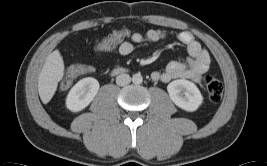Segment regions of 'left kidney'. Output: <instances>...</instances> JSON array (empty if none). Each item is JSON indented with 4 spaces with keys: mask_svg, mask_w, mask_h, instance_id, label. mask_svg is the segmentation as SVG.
<instances>
[{
    "mask_svg": "<svg viewBox=\"0 0 267 166\" xmlns=\"http://www.w3.org/2000/svg\"><path fill=\"white\" fill-rule=\"evenodd\" d=\"M167 91L175 105L188 112L197 110L203 102V97L197 86L185 79L170 82Z\"/></svg>",
    "mask_w": 267,
    "mask_h": 166,
    "instance_id": "5707ae66",
    "label": "left kidney"
}]
</instances>
